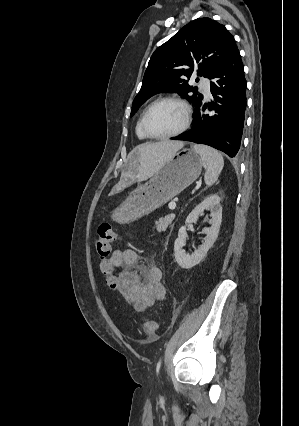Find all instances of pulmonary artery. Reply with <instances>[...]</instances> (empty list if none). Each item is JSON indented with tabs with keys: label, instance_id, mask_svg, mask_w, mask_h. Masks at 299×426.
I'll use <instances>...</instances> for the list:
<instances>
[{
	"label": "pulmonary artery",
	"instance_id": "1",
	"mask_svg": "<svg viewBox=\"0 0 299 426\" xmlns=\"http://www.w3.org/2000/svg\"><path fill=\"white\" fill-rule=\"evenodd\" d=\"M200 86L206 96H210L211 94V87H210V81L208 79H203L200 83Z\"/></svg>",
	"mask_w": 299,
	"mask_h": 426
}]
</instances>
